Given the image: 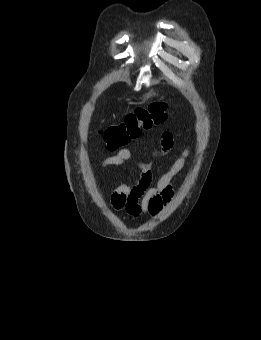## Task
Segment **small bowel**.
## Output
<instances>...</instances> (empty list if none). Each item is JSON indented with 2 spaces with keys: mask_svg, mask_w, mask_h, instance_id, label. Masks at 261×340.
<instances>
[{
  "mask_svg": "<svg viewBox=\"0 0 261 340\" xmlns=\"http://www.w3.org/2000/svg\"><path fill=\"white\" fill-rule=\"evenodd\" d=\"M174 146L173 135L164 131L161 135L157 156L171 151ZM189 156V149L185 148L182 155L174 161L170 169L152 185L150 165L134 159V153L128 148H122L112 156L101 162V168L110 166L133 165L140 170V178L135 185L120 184L111 193L110 203L114 210L123 211L127 215L138 218L142 215L156 216L171 200L174 190L173 181L183 170Z\"/></svg>",
  "mask_w": 261,
  "mask_h": 340,
  "instance_id": "c3829d8e",
  "label": "small bowel"
}]
</instances>
